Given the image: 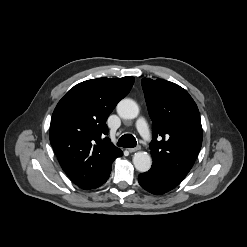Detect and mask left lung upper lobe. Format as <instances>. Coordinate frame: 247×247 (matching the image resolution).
I'll use <instances>...</instances> for the list:
<instances>
[{"instance_id":"left-lung-upper-lobe-1","label":"left lung upper lobe","mask_w":247,"mask_h":247,"mask_svg":"<svg viewBox=\"0 0 247 247\" xmlns=\"http://www.w3.org/2000/svg\"><path fill=\"white\" fill-rule=\"evenodd\" d=\"M142 88L153 121L152 167L182 181L202 145L197 105L185 89L166 80L143 78Z\"/></svg>"}]
</instances>
